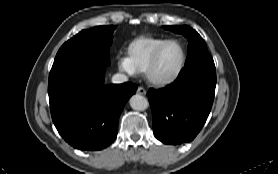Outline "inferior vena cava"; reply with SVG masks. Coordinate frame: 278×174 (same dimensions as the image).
Returning <instances> with one entry per match:
<instances>
[{
	"label": "inferior vena cava",
	"instance_id": "inferior-vena-cava-1",
	"mask_svg": "<svg viewBox=\"0 0 278 174\" xmlns=\"http://www.w3.org/2000/svg\"><path fill=\"white\" fill-rule=\"evenodd\" d=\"M127 81H128V77L121 73H117V74L113 75V77H112V82L114 84H121V83H124Z\"/></svg>",
	"mask_w": 278,
	"mask_h": 174
}]
</instances>
